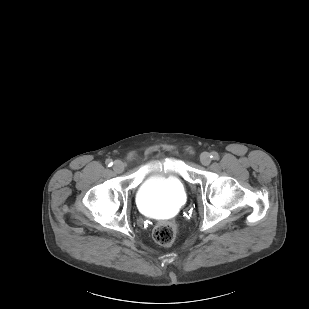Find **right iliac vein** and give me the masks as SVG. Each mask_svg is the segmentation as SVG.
<instances>
[{
  "label": "right iliac vein",
  "instance_id": "1",
  "mask_svg": "<svg viewBox=\"0 0 309 309\" xmlns=\"http://www.w3.org/2000/svg\"><path fill=\"white\" fill-rule=\"evenodd\" d=\"M125 169V165L122 161L120 160H116L114 162V165H113V170L116 172V173H122Z\"/></svg>",
  "mask_w": 309,
  "mask_h": 309
}]
</instances>
